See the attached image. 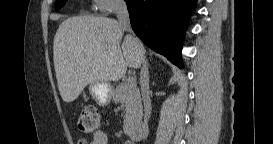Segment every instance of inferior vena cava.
Returning <instances> with one entry per match:
<instances>
[{"mask_svg":"<svg viewBox=\"0 0 273 144\" xmlns=\"http://www.w3.org/2000/svg\"><path fill=\"white\" fill-rule=\"evenodd\" d=\"M115 12L118 18V23L123 28V30L132 33L129 12H128L126 2L124 0H116ZM133 41H134L135 51L142 65L141 71H140V85H141L142 99H143L144 113H145L144 124H145V129H147L148 120L151 116V111H152L150 91H149V72H148L147 62L145 60V51H144L142 43L135 37H133Z\"/></svg>","mask_w":273,"mask_h":144,"instance_id":"obj_1","label":"inferior vena cava"}]
</instances>
